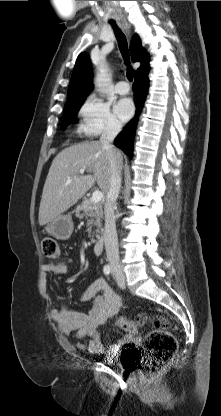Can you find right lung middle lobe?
Listing matches in <instances>:
<instances>
[{"instance_id": "dd1d6c3e", "label": "right lung middle lobe", "mask_w": 221, "mask_h": 416, "mask_svg": "<svg viewBox=\"0 0 221 416\" xmlns=\"http://www.w3.org/2000/svg\"><path fill=\"white\" fill-rule=\"evenodd\" d=\"M84 99L67 102L64 110V115L62 119V128L65 129L70 122L75 123V117L77 112L79 111L81 105L83 104Z\"/></svg>"}]
</instances>
